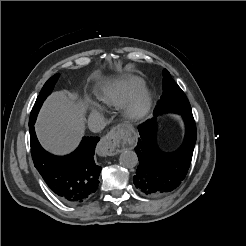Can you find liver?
I'll return each mask as SVG.
<instances>
[{"label": "liver", "mask_w": 246, "mask_h": 246, "mask_svg": "<svg viewBox=\"0 0 246 246\" xmlns=\"http://www.w3.org/2000/svg\"><path fill=\"white\" fill-rule=\"evenodd\" d=\"M84 105L64 91L54 92L44 103L35 128L39 141L54 154L74 150L84 134Z\"/></svg>", "instance_id": "1"}]
</instances>
